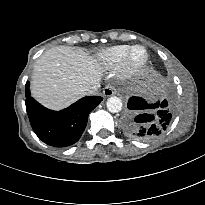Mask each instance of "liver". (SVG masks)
<instances>
[{"label":"liver","instance_id":"6515ba94","mask_svg":"<svg viewBox=\"0 0 205 205\" xmlns=\"http://www.w3.org/2000/svg\"><path fill=\"white\" fill-rule=\"evenodd\" d=\"M102 73L97 59L84 49L56 46L36 60L31 93L44 106L60 110L87 95Z\"/></svg>","mask_w":205,"mask_h":205}]
</instances>
